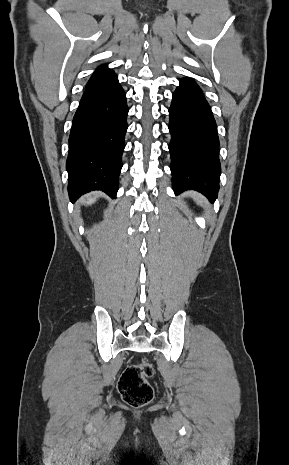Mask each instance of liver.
<instances>
[{"label":"liver","mask_w":289,"mask_h":465,"mask_svg":"<svg viewBox=\"0 0 289 465\" xmlns=\"http://www.w3.org/2000/svg\"><path fill=\"white\" fill-rule=\"evenodd\" d=\"M95 200H96V196H93V197L90 196L87 198V201H84V203L92 204L93 202H95Z\"/></svg>","instance_id":"obj_1"}]
</instances>
